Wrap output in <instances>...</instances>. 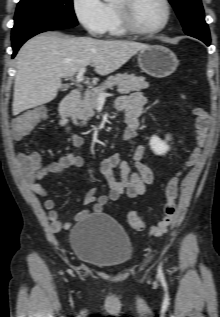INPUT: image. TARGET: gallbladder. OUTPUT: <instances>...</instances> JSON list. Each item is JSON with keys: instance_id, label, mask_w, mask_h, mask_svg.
Instances as JSON below:
<instances>
[{"instance_id": "bac80fb5", "label": "gallbladder", "mask_w": 220, "mask_h": 317, "mask_svg": "<svg viewBox=\"0 0 220 317\" xmlns=\"http://www.w3.org/2000/svg\"><path fill=\"white\" fill-rule=\"evenodd\" d=\"M61 90H62V91H66V90H67V86H66V85H63V86L61 87Z\"/></svg>"}]
</instances>
